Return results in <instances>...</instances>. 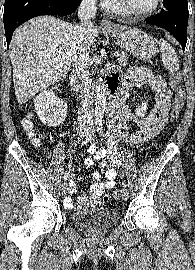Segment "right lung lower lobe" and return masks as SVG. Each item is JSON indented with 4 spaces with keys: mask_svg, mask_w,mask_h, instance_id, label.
<instances>
[{
    "mask_svg": "<svg viewBox=\"0 0 195 270\" xmlns=\"http://www.w3.org/2000/svg\"><path fill=\"white\" fill-rule=\"evenodd\" d=\"M80 2L81 0H5L3 20L8 47L14 30L20 24L39 15L72 14Z\"/></svg>",
    "mask_w": 195,
    "mask_h": 270,
    "instance_id": "obj_1",
    "label": "right lung lower lobe"
}]
</instances>
